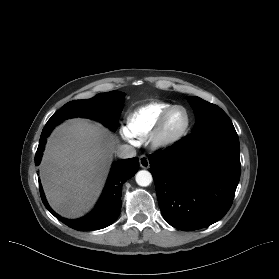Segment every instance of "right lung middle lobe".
<instances>
[{
	"label": "right lung middle lobe",
	"instance_id": "1",
	"mask_svg": "<svg viewBox=\"0 0 279 279\" xmlns=\"http://www.w3.org/2000/svg\"><path fill=\"white\" fill-rule=\"evenodd\" d=\"M124 97L123 92L111 91L98 94L91 99L68 102L48 120L46 125L58 124L73 117H86L97 119L114 131L118 127Z\"/></svg>",
	"mask_w": 279,
	"mask_h": 279
}]
</instances>
